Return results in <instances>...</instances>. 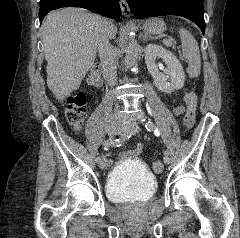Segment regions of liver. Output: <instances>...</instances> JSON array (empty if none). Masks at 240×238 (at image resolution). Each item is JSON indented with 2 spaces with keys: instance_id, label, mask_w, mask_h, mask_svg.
Segmentation results:
<instances>
[{
  "instance_id": "liver-1",
  "label": "liver",
  "mask_w": 240,
  "mask_h": 238,
  "mask_svg": "<svg viewBox=\"0 0 240 238\" xmlns=\"http://www.w3.org/2000/svg\"><path fill=\"white\" fill-rule=\"evenodd\" d=\"M100 18L83 9L69 7L49 13L42 23L47 86L56 99L63 100L77 90L93 65ZM116 32L117 28L110 22L109 38L114 39Z\"/></svg>"
}]
</instances>
